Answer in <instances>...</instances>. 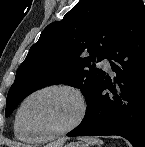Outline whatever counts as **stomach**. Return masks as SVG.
Wrapping results in <instances>:
<instances>
[{"instance_id": "0dacf381", "label": "stomach", "mask_w": 145, "mask_h": 147, "mask_svg": "<svg viewBox=\"0 0 145 147\" xmlns=\"http://www.w3.org/2000/svg\"><path fill=\"white\" fill-rule=\"evenodd\" d=\"M65 147H88V145L83 142H75V143H70Z\"/></svg>"}]
</instances>
